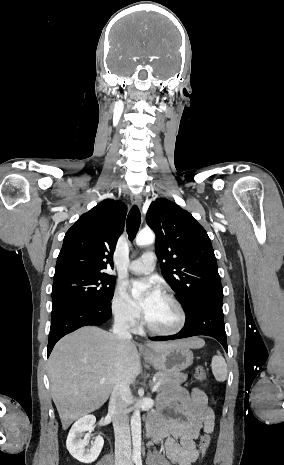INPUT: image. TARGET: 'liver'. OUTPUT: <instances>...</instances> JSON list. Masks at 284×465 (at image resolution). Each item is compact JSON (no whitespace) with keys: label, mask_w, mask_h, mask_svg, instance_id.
I'll use <instances>...</instances> for the list:
<instances>
[{"label":"liver","mask_w":284,"mask_h":465,"mask_svg":"<svg viewBox=\"0 0 284 465\" xmlns=\"http://www.w3.org/2000/svg\"><path fill=\"white\" fill-rule=\"evenodd\" d=\"M175 343V341H174ZM189 349H202L203 339L182 341ZM173 343H148L154 351H167ZM141 373L140 357L132 341L98 327H83L55 345L48 363L52 399L63 429L102 407L116 383L132 385ZM100 379H106L100 383Z\"/></svg>","instance_id":"1"}]
</instances>
